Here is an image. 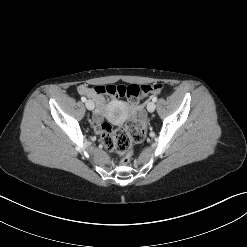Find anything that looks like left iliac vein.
<instances>
[{
	"mask_svg": "<svg viewBox=\"0 0 247 247\" xmlns=\"http://www.w3.org/2000/svg\"><path fill=\"white\" fill-rule=\"evenodd\" d=\"M155 108H156V105H155V103L153 101L148 102L147 110L149 112H154Z\"/></svg>",
	"mask_w": 247,
	"mask_h": 247,
	"instance_id": "left-iliac-vein-1",
	"label": "left iliac vein"
}]
</instances>
